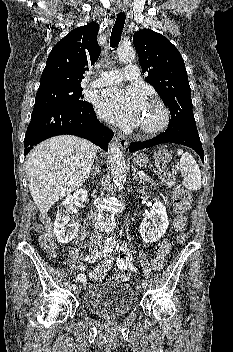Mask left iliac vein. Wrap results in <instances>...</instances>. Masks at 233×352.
<instances>
[{
	"label": "left iliac vein",
	"mask_w": 233,
	"mask_h": 352,
	"mask_svg": "<svg viewBox=\"0 0 233 352\" xmlns=\"http://www.w3.org/2000/svg\"><path fill=\"white\" fill-rule=\"evenodd\" d=\"M139 291H140L141 293H144V292L146 291V288L142 286V287H140Z\"/></svg>",
	"instance_id": "4c4485c4"
}]
</instances>
